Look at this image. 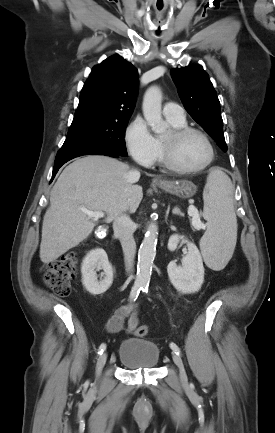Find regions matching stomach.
<instances>
[{"label":"stomach","mask_w":275,"mask_h":433,"mask_svg":"<svg viewBox=\"0 0 275 433\" xmlns=\"http://www.w3.org/2000/svg\"><path fill=\"white\" fill-rule=\"evenodd\" d=\"M162 190L176 195L180 198H191L196 194L197 186L188 180L169 182L168 184H158Z\"/></svg>","instance_id":"obj_1"}]
</instances>
